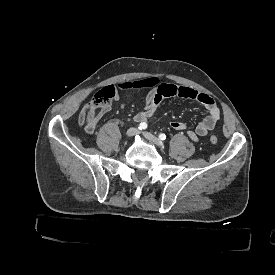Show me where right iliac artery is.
I'll use <instances>...</instances> for the list:
<instances>
[{
  "label": "right iliac artery",
  "mask_w": 275,
  "mask_h": 275,
  "mask_svg": "<svg viewBox=\"0 0 275 275\" xmlns=\"http://www.w3.org/2000/svg\"><path fill=\"white\" fill-rule=\"evenodd\" d=\"M146 128H147V124L145 122L140 123L139 126H138L139 130H144Z\"/></svg>",
  "instance_id": "82829eb1"
}]
</instances>
